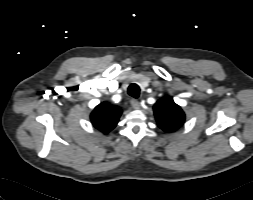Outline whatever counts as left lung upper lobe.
Segmentation results:
<instances>
[{
	"label": "left lung upper lobe",
	"mask_w": 253,
	"mask_h": 200,
	"mask_svg": "<svg viewBox=\"0 0 253 200\" xmlns=\"http://www.w3.org/2000/svg\"><path fill=\"white\" fill-rule=\"evenodd\" d=\"M155 118L159 127L165 132H173L181 127L185 114L171 97H163L154 105Z\"/></svg>",
	"instance_id": "5c2ea615"
}]
</instances>
